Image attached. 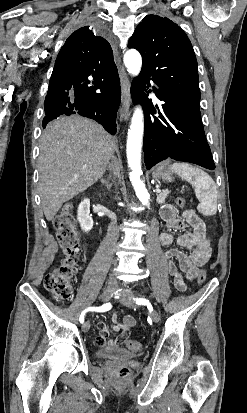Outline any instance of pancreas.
<instances>
[{"instance_id": "cf45deb5", "label": "pancreas", "mask_w": 247, "mask_h": 413, "mask_svg": "<svg viewBox=\"0 0 247 413\" xmlns=\"http://www.w3.org/2000/svg\"><path fill=\"white\" fill-rule=\"evenodd\" d=\"M168 194H169V190H164V192H159V194H157L158 204H163V202H165V198H167Z\"/></svg>"}]
</instances>
